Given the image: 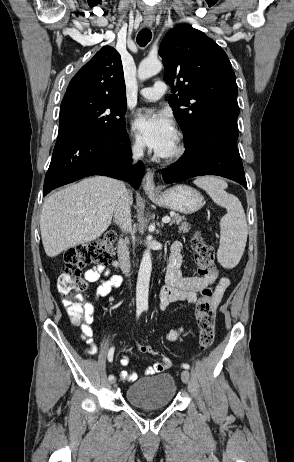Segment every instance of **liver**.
Masks as SVG:
<instances>
[{"mask_svg":"<svg viewBox=\"0 0 294 462\" xmlns=\"http://www.w3.org/2000/svg\"><path fill=\"white\" fill-rule=\"evenodd\" d=\"M124 188L122 181L95 176L50 195L40 219L47 256L100 237L111 224Z\"/></svg>","mask_w":294,"mask_h":462,"instance_id":"liver-1","label":"liver"}]
</instances>
